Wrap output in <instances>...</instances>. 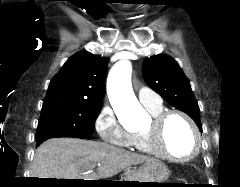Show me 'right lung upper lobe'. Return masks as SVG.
<instances>
[{"mask_svg":"<svg viewBox=\"0 0 240 187\" xmlns=\"http://www.w3.org/2000/svg\"><path fill=\"white\" fill-rule=\"evenodd\" d=\"M108 58L82 51L71 56L51 80L43 107L85 103L102 104Z\"/></svg>","mask_w":240,"mask_h":187,"instance_id":"cb5924a9","label":"right lung upper lobe"}]
</instances>
